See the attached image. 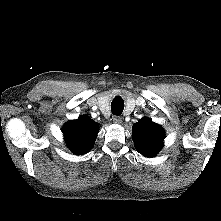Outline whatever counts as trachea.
<instances>
[{
    "instance_id": "1",
    "label": "trachea",
    "mask_w": 221,
    "mask_h": 221,
    "mask_svg": "<svg viewBox=\"0 0 221 221\" xmlns=\"http://www.w3.org/2000/svg\"><path fill=\"white\" fill-rule=\"evenodd\" d=\"M124 109V102L120 97H116L111 103L112 113L115 115H120Z\"/></svg>"
}]
</instances>
